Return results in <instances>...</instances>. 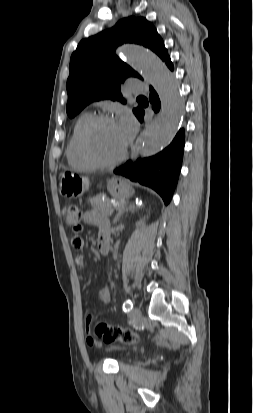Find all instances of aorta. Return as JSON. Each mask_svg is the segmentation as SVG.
<instances>
[{"mask_svg": "<svg viewBox=\"0 0 253 413\" xmlns=\"http://www.w3.org/2000/svg\"><path fill=\"white\" fill-rule=\"evenodd\" d=\"M120 51L128 64L153 85L161 101L159 116L138 142L140 156L150 157L175 137L184 115V100L177 81L153 52L134 44L124 45Z\"/></svg>", "mask_w": 253, "mask_h": 413, "instance_id": "1", "label": "aorta"}]
</instances>
